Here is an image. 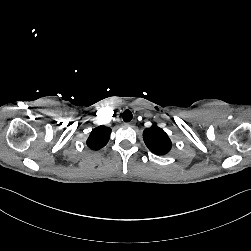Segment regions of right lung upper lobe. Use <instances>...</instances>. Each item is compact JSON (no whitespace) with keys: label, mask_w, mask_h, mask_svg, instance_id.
Listing matches in <instances>:
<instances>
[{"label":"right lung upper lobe","mask_w":251,"mask_h":251,"mask_svg":"<svg viewBox=\"0 0 251 251\" xmlns=\"http://www.w3.org/2000/svg\"><path fill=\"white\" fill-rule=\"evenodd\" d=\"M111 128L106 126H98L92 130L87 139V146L93 150H99L104 147L110 138Z\"/></svg>","instance_id":"1"}]
</instances>
